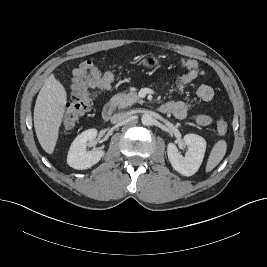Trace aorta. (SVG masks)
Masks as SVG:
<instances>
[{"label": "aorta", "instance_id": "obj_1", "mask_svg": "<svg viewBox=\"0 0 267 267\" xmlns=\"http://www.w3.org/2000/svg\"><path fill=\"white\" fill-rule=\"evenodd\" d=\"M153 117L150 114H143L141 117V122L145 126H150L153 124Z\"/></svg>", "mask_w": 267, "mask_h": 267}]
</instances>
